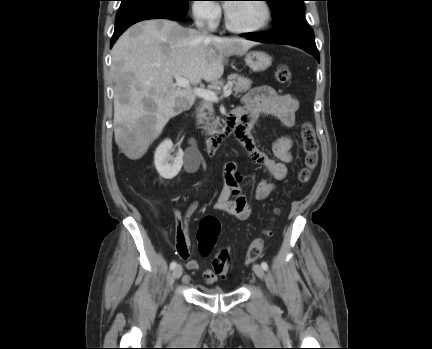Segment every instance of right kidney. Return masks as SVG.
Instances as JSON below:
<instances>
[{
	"mask_svg": "<svg viewBox=\"0 0 432 349\" xmlns=\"http://www.w3.org/2000/svg\"><path fill=\"white\" fill-rule=\"evenodd\" d=\"M173 152L171 140L163 141L156 149L154 154V165L159 175L164 179L174 178L182 168L184 152L179 148L176 156Z\"/></svg>",
	"mask_w": 432,
	"mask_h": 349,
	"instance_id": "obj_1",
	"label": "right kidney"
}]
</instances>
